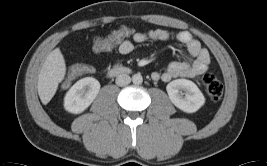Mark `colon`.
Wrapping results in <instances>:
<instances>
[{"mask_svg": "<svg viewBox=\"0 0 267 166\" xmlns=\"http://www.w3.org/2000/svg\"><path fill=\"white\" fill-rule=\"evenodd\" d=\"M133 28L130 25H123L121 28L114 30L110 37L107 38H94L92 41V47L95 51L104 52L111 50L116 44L124 42L127 38L133 35ZM79 73H88L89 67L80 65L78 66ZM74 76H77L75 71H71L68 78L63 83V88L69 86V80ZM203 85L208 93V96L212 101H218L223 96V85L221 81L212 73H205L202 78Z\"/></svg>", "mask_w": 267, "mask_h": 166, "instance_id": "1", "label": "colon"}]
</instances>
